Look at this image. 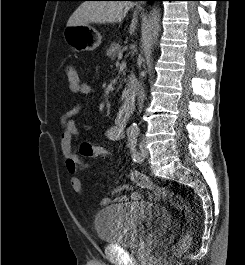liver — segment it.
Masks as SVG:
<instances>
[{"label": "liver", "mask_w": 245, "mask_h": 265, "mask_svg": "<svg viewBox=\"0 0 245 265\" xmlns=\"http://www.w3.org/2000/svg\"><path fill=\"white\" fill-rule=\"evenodd\" d=\"M135 4L129 1H85L70 16L67 26H81L106 23H118L125 17L130 8ZM136 12L130 26L132 34L136 29Z\"/></svg>", "instance_id": "liver-1"}]
</instances>
